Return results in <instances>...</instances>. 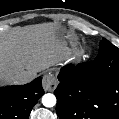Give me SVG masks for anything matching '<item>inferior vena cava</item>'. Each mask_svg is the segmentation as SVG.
<instances>
[{
  "mask_svg": "<svg viewBox=\"0 0 119 119\" xmlns=\"http://www.w3.org/2000/svg\"><path fill=\"white\" fill-rule=\"evenodd\" d=\"M33 79V76L30 74H21L14 77L12 83L13 84H25L30 82Z\"/></svg>",
  "mask_w": 119,
  "mask_h": 119,
  "instance_id": "obj_1",
  "label": "inferior vena cava"
}]
</instances>
